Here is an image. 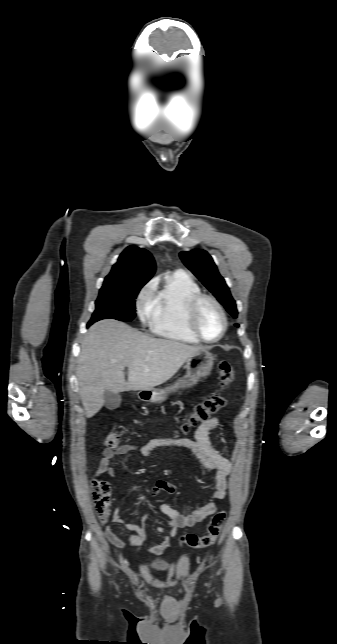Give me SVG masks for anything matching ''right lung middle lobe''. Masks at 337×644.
<instances>
[{"instance_id":"obj_1","label":"right lung middle lobe","mask_w":337,"mask_h":644,"mask_svg":"<svg viewBox=\"0 0 337 644\" xmlns=\"http://www.w3.org/2000/svg\"><path fill=\"white\" fill-rule=\"evenodd\" d=\"M143 285L102 287L87 326L102 319L133 320L136 316L135 299Z\"/></svg>"}]
</instances>
